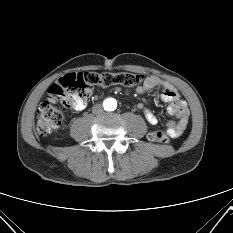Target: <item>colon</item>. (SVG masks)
I'll return each instance as SVG.
<instances>
[{"instance_id": "colon-1", "label": "colon", "mask_w": 233, "mask_h": 233, "mask_svg": "<svg viewBox=\"0 0 233 233\" xmlns=\"http://www.w3.org/2000/svg\"><path fill=\"white\" fill-rule=\"evenodd\" d=\"M144 76L137 73H69L51 85L45 99L37 110L36 127L40 135H48L58 129L63 113L80 101L90 97L95 86L110 87L121 85L127 87L139 86ZM150 141L166 144L169 136L164 131H152L148 134Z\"/></svg>"}]
</instances>
